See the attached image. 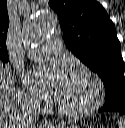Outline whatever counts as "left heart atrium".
Listing matches in <instances>:
<instances>
[{"mask_svg":"<svg viewBox=\"0 0 125 128\" xmlns=\"http://www.w3.org/2000/svg\"><path fill=\"white\" fill-rule=\"evenodd\" d=\"M68 73L62 65L42 66L24 75V85L37 98L58 103L63 95Z\"/></svg>","mask_w":125,"mask_h":128,"instance_id":"39dd6f15","label":"left heart atrium"}]
</instances>
